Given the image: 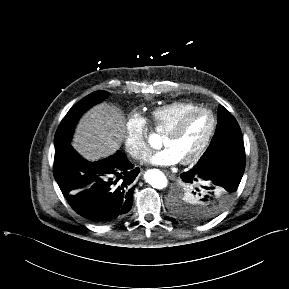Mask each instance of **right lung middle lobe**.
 I'll use <instances>...</instances> for the list:
<instances>
[{"instance_id":"obj_1","label":"right lung middle lobe","mask_w":289,"mask_h":289,"mask_svg":"<svg viewBox=\"0 0 289 289\" xmlns=\"http://www.w3.org/2000/svg\"><path fill=\"white\" fill-rule=\"evenodd\" d=\"M106 91H96L79 101L74 105L61 121L54 138L55 150L61 148L65 144L69 143L75 128V125L80 116L90 107L96 103L101 102L108 96Z\"/></svg>"}]
</instances>
